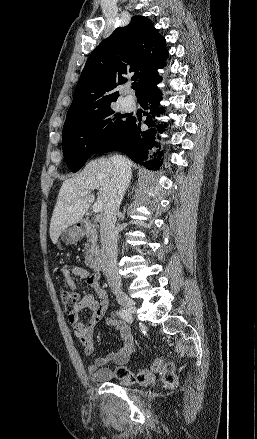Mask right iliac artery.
I'll list each match as a JSON object with an SVG mask.
<instances>
[{
  "label": "right iliac artery",
  "instance_id": "obj_1",
  "mask_svg": "<svg viewBox=\"0 0 257 439\" xmlns=\"http://www.w3.org/2000/svg\"><path fill=\"white\" fill-rule=\"evenodd\" d=\"M117 314L119 315V317H121L123 320L127 321V322H132V316L129 312H127L126 310H119L117 312Z\"/></svg>",
  "mask_w": 257,
  "mask_h": 439
}]
</instances>
